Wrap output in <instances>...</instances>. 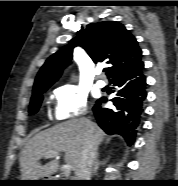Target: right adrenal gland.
I'll use <instances>...</instances> for the list:
<instances>
[{
	"label": "right adrenal gland",
	"instance_id": "1",
	"mask_svg": "<svg viewBox=\"0 0 178 186\" xmlns=\"http://www.w3.org/2000/svg\"><path fill=\"white\" fill-rule=\"evenodd\" d=\"M108 160V159H107ZM107 160H104V161H99V159H98V156H96V159H95V162H94V167H93V174H96V172H97V170L99 169V167L101 166V165H104L106 162H107Z\"/></svg>",
	"mask_w": 178,
	"mask_h": 186
}]
</instances>
